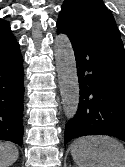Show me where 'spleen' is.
I'll return each instance as SVG.
<instances>
[{
	"label": "spleen",
	"instance_id": "obj_1",
	"mask_svg": "<svg viewBox=\"0 0 125 167\" xmlns=\"http://www.w3.org/2000/svg\"><path fill=\"white\" fill-rule=\"evenodd\" d=\"M79 167H125V148L109 136H85L70 146Z\"/></svg>",
	"mask_w": 125,
	"mask_h": 167
}]
</instances>
